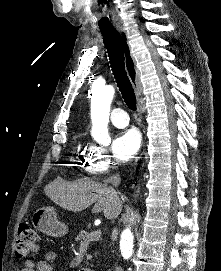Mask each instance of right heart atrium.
<instances>
[{"label": "right heart atrium", "mask_w": 221, "mask_h": 271, "mask_svg": "<svg viewBox=\"0 0 221 271\" xmlns=\"http://www.w3.org/2000/svg\"><path fill=\"white\" fill-rule=\"evenodd\" d=\"M75 157L80 159L83 164L80 171L86 173V177H95L96 175L99 177L100 173H106V167L111 165L108 162V159H111V154H105V151H76Z\"/></svg>", "instance_id": "obj_1"}]
</instances>
